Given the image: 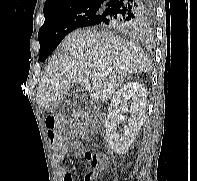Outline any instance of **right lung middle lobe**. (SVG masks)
I'll return each mask as SVG.
<instances>
[{"instance_id":"obj_1","label":"right lung middle lobe","mask_w":197,"mask_h":181,"mask_svg":"<svg viewBox=\"0 0 197 181\" xmlns=\"http://www.w3.org/2000/svg\"><path fill=\"white\" fill-rule=\"evenodd\" d=\"M102 11L101 5H85L45 17V22L38 32L40 61L44 62L68 33L84 27L88 19Z\"/></svg>"}]
</instances>
